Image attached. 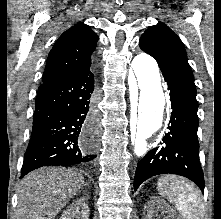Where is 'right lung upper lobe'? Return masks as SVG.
<instances>
[{"instance_id":"1","label":"right lung upper lobe","mask_w":221,"mask_h":219,"mask_svg":"<svg viewBox=\"0 0 221 219\" xmlns=\"http://www.w3.org/2000/svg\"><path fill=\"white\" fill-rule=\"evenodd\" d=\"M97 40L95 32L82 22L65 31L49 53L42 82L73 75L91 65Z\"/></svg>"}]
</instances>
